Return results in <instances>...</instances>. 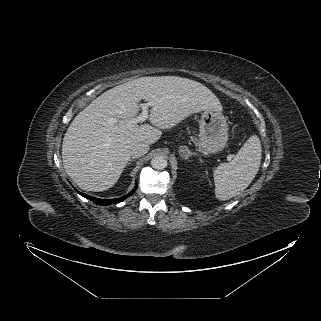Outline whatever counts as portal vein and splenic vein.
I'll list each match as a JSON object with an SVG mask.
<instances>
[{"mask_svg": "<svg viewBox=\"0 0 321 321\" xmlns=\"http://www.w3.org/2000/svg\"><path fill=\"white\" fill-rule=\"evenodd\" d=\"M154 104L155 103L153 101L141 104L142 113L134 119L133 123L137 124L140 122H144L148 118V107L153 106ZM230 159L231 157H228V160Z\"/></svg>", "mask_w": 321, "mask_h": 321, "instance_id": "18ae733b", "label": "portal vein and splenic vein"}]
</instances>
